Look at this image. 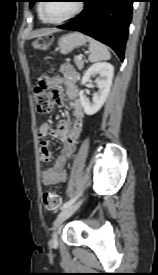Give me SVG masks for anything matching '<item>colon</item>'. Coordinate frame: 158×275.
<instances>
[{
    "instance_id": "obj_1",
    "label": "colon",
    "mask_w": 158,
    "mask_h": 275,
    "mask_svg": "<svg viewBox=\"0 0 158 275\" xmlns=\"http://www.w3.org/2000/svg\"><path fill=\"white\" fill-rule=\"evenodd\" d=\"M52 44V37L50 35H43L38 38L34 47L39 50H46ZM36 110L39 114H46L50 111L55 94L50 92L47 83L41 79L38 81L34 90ZM43 206L48 210H56L61 205L60 196L51 190H44L41 194Z\"/></svg>"
}]
</instances>
